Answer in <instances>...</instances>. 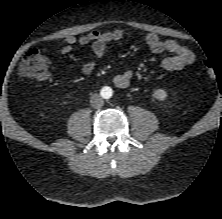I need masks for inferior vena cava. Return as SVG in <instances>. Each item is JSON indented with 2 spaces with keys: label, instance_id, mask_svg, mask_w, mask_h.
<instances>
[{
  "label": "inferior vena cava",
  "instance_id": "602c4592",
  "mask_svg": "<svg viewBox=\"0 0 222 219\" xmlns=\"http://www.w3.org/2000/svg\"><path fill=\"white\" fill-rule=\"evenodd\" d=\"M91 106L93 108H100L103 106L104 101L102 97L98 94H93L90 99Z\"/></svg>",
  "mask_w": 222,
  "mask_h": 219
}]
</instances>
